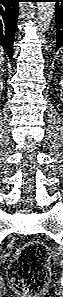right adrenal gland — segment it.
Instances as JSON below:
<instances>
[{
	"mask_svg": "<svg viewBox=\"0 0 63 297\" xmlns=\"http://www.w3.org/2000/svg\"><path fill=\"white\" fill-rule=\"evenodd\" d=\"M2 65H3V63H2V64H0V66H1V71L3 72L4 70L2 69Z\"/></svg>",
	"mask_w": 63,
	"mask_h": 297,
	"instance_id": "2a0ac1e0",
	"label": "right adrenal gland"
}]
</instances>
